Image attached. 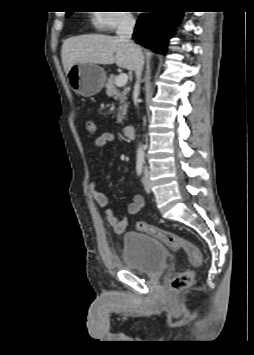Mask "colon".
<instances>
[{
  "label": "colon",
  "instance_id": "1",
  "mask_svg": "<svg viewBox=\"0 0 254 355\" xmlns=\"http://www.w3.org/2000/svg\"><path fill=\"white\" fill-rule=\"evenodd\" d=\"M85 130L88 134H96V122L92 119H87L85 121ZM136 227L138 231L157 238L171 250H183L193 266H200L202 264L203 256L200 250L189 240L146 222H138ZM194 277L195 273L192 270L178 273L172 278L171 288L174 291L186 290L193 284Z\"/></svg>",
  "mask_w": 254,
  "mask_h": 355
}]
</instances>
